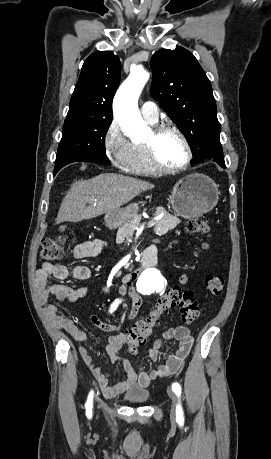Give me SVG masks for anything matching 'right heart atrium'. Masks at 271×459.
<instances>
[{
  "label": "right heart atrium",
  "instance_id": "right-heart-atrium-1",
  "mask_svg": "<svg viewBox=\"0 0 271 459\" xmlns=\"http://www.w3.org/2000/svg\"><path fill=\"white\" fill-rule=\"evenodd\" d=\"M102 146L106 157L116 168H124L130 142L127 140L115 120L106 127L102 136Z\"/></svg>",
  "mask_w": 271,
  "mask_h": 459
}]
</instances>
